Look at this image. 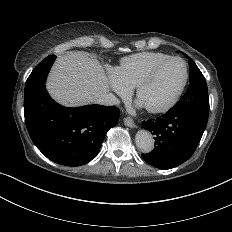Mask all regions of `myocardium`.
Instances as JSON below:
<instances>
[{"label":"myocardium","instance_id":"obj_1","mask_svg":"<svg viewBox=\"0 0 232 232\" xmlns=\"http://www.w3.org/2000/svg\"><path fill=\"white\" fill-rule=\"evenodd\" d=\"M172 61H179L184 65L185 68V77L183 80V83L181 84L180 88L177 90V92L172 96V98L166 102L164 105L157 107V108H147L146 111L152 114H161L169 111L173 106L176 105L178 100L180 99L181 95L183 94L187 83L189 81V66L188 63L177 56H170L169 58L157 63L154 65L151 69H149L144 75H142L139 80L136 82L134 89H133V95L135 98L137 97L140 89L143 87L145 83H147L162 67H164L166 64L172 62Z\"/></svg>","mask_w":232,"mask_h":232}]
</instances>
